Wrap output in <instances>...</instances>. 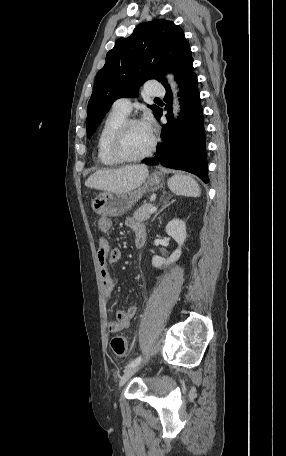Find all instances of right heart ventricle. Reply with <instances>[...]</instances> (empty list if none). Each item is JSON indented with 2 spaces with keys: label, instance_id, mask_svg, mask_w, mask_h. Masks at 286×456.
<instances>
[{
  "label": "right heart ventricle",
  "instance_id": "e07e8e85",
  "mask_svg": "<svg viewBox=\"0 0 286 456\" xmlns=\"http://www.w3.org/2000/svg\"><path fill=\"white\" fill-rule=\"evenodd\" d=\"M127 118L126 114L112 109L105 118L97 138V159L104 166H114L119 164L109 151L111 137L117 127Z\"/></svg>",
  "mask_w": 286,
  "mask_h": 456
}]
</instances>
